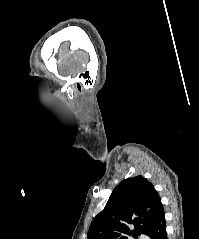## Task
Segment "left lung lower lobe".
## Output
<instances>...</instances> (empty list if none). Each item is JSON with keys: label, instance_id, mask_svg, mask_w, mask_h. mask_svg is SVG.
<instances>
[{"label": "left lung lower lobe", "instance_id": "left-lung-lower-lobe-1", "mask_svg": "<svg viewBox=\"0 0 199 239\" xmlns=\"http://www.w3.org/2000/svg\"><path fill=\"white\" fill-rule=\"evenodd\" d=\"M147 235L150 239H167L164 209L155 219Z\"/></svg>", "mask_w": 199, "mask_h": 239}]
</instances>
